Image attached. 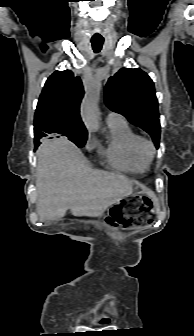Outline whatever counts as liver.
Segmentation results:
<instances>
[{
  "label": "liver",
  "mask_w": 194,
  "mask_h": 336,
  "mask_svg": "<svg viewBox=\"0 0 194 336\" xmlns=\"http://www.w3.org/2000/svg\"><path fill=\"white\" fill-rule=\"evenodd\" d=\"M37 212L41 221L74 216H101L133 191L124 175L92 169L67 139L44 141L37 150Z\"/></svg>",
  "instance_id": "1"
}]
</instances>
